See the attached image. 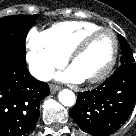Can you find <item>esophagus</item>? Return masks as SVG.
<instances>
[{"label":"esophagus","mask_w":136,"mask_h":136,"mask_svg":"<svg viewBox=\"0 0 136 136\" xmlns=\"http://www.w3.org/2000/svg\"><path fill=\"white\" fill-rule=\"evenodd\" d=\"M58 90H59V86L54 85V84H51V85H50V92H51L52 94L56 93V91H58Z\"/></svg>","instance_id":"1"}]
</instances>
